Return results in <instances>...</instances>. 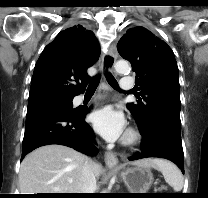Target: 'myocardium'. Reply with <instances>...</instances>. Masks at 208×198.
I'll return each mask as SVG.
<instances>
[{
  "mask_svg": "<svg viewBox=\"0 0 208 198\" xmlns=\"http://www.w3.org/2000/svg\"><path fill=\"white\" fill-rule=\"evenodd\" d=\"M141 138L142 135L140 131L136 128L131 127L126 131L122 142L125 146H134L141 141Z\"/></svg>",
  "mask_w": 208,
  "mask_h": 198,
  "instance_id": "f54148a6",
  "label": "myocardium"
}]
</instances>
